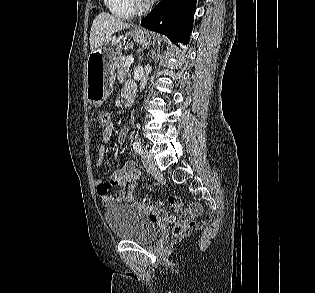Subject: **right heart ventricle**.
<instances>
[{"mask_svg": "<svg viewBox=\"0 0 315 293\" xmlns=\"http://www.w3.org/2000/svg\"><path fill=\"white\" fill-rule=\"evenodd\" d=\"M103 3L109 13L116 18L128 19L135 13L128 0H103Z\"/></svg>", "mask_w": 315, "mask_h": 293, "instance_id": "obj_1", "label": "right heart ventricle"}]
</instances>
